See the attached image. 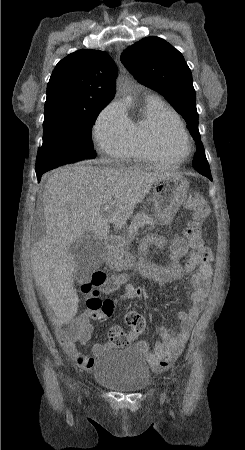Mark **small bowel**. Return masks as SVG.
<instances>
[{"instance_id": "1", "label": "small bowel", "mask_w": 245, "mask_h": 450, "mask_svg": "<svg viewBox=\"0 0 245 450\" xmlns=\"http://www.w3.org/2000/svg\"><path fill=\"white\" fill-rule=\"evenodd\" d=\"M145 241L150 246L163 247L167 244L166 237L157 233L148 235ZM170 244V264L167 267H147L144 268L143 271L161 287L180 279L184 269L192 272L191 282L188 286L191 306L188 311H181L177 314L180 321V328L176 331L164 329L163 341L157 343L153 350L150 349L149 344L144 340H135L132 343V346L144 356L149 367L155 372L166 371L181 355L196 318L203 308L208 293L210 279L213 276V259L210 262H203L195 251H188L186 241L179 235H174L170 240ZM185 256H187L188 259L183 265L182 260ZM120 287H123V293L118 297V300L142 298L147 294V291L144 288L132 284H124L123 282L117 284L111 291H115ZM111 308L112 302L104 303L103 308L100 310H93L89 306L83 314L77 317L60 319V321L80 320L89 323L92 319L103 322L111 316ZM91 329L90 325V330L81 340L83 343H86L89 340ZM56 337L63 345L66 353L77 365L87 370L91 369L93 359L80 352L77 348L76 341H63L57 331ZM116 346L117 345L112 342L109 336L108 340L93 344L92 352L97 356Z\"/></svg>"}]
</instances>
